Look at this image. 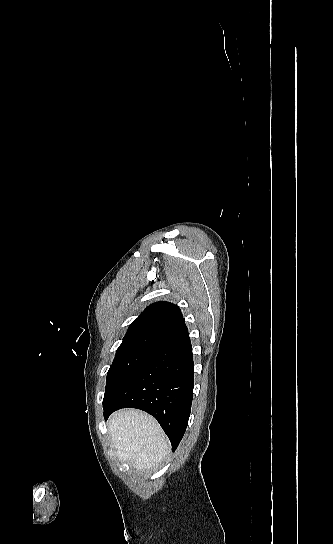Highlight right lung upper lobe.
<instances>
[{"instance_id":"obj_1","label":"right lung upper lobe","mask_w":333,"mask_h":544,"mask_svg":"<svg viewBox=\"0 0 333 544\" xmlns=\"http://www.w3.org/2000/svg\"><path fill=\"white\" fill-rule=\"evenodd\" d=\"M188 333L178 306L166 301L149 305L134 320L118 349L154 347L162 342Z\"/></svg>"}]
</instances>
